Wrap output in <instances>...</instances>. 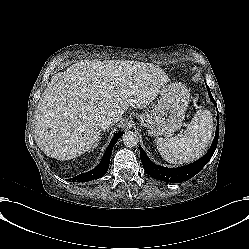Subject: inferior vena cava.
Segmentation results:
<instances>
[{"instance_id":"obj_1","label":"inferior vena cava","mask_w":249,"mask_h":249,"mask_svg":"<svg viewBox=\"0 0 249 249\" xmlns=\"http://www.w3.org/2000/svg\"><path fill=\"white\" fill-rule=\"evenodd\" d=\"M118 121L117 118H115L114 116H110L108 118H105L103 121H102V129L105 130V129H108L110 126H112L113 124H115L116 122Z\"/></svg>"}]
</instances>
